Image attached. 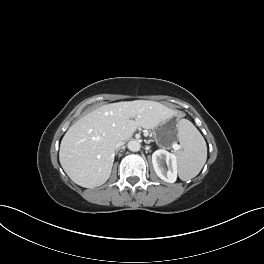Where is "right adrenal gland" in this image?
I'll return each mask as SVG.
<instances>
[{
	"instance_id": "obj_1",
	"label": "right adrenal gland",
	"mask_w": 264,
	"mask_h": 264,
	"mask_svg": "<svg viewBox=\"0 0 264 264\" xmlns=\"http://www.w3.org/2000/svg\"><path fill=\"white\" fill-rule=\"evenodd\" d=\"M117 153H118V149L116 150V152H115V154H114V155H117Z\"/></svg>"
}]
</instances>
